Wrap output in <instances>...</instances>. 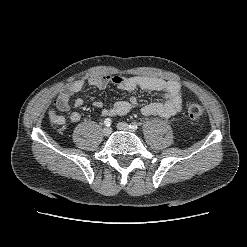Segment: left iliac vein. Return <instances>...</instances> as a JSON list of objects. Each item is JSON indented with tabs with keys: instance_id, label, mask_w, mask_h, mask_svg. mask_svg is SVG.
I'll list each match as a JSON object with an SVG mask.
<instances>
[{
	"instance_id": "4c4485c4",
	"label": "left iliac vein",
	"mask_w": 247,
	"mask_h": 247,
	"mask_svg": "<svg viewBox=\"0 0 247 247\" xmlns=\"http://www.w3.org/2000/svg\"><path fill=\"white\" fill-rule=\"evenodd\" d=\"M117 128H118L119 130H122V131L135 132V130H134V129H131V128L129 127V125H128L127 123H125V122H119V123L117 124Z\"/></svg>"
}]
</instances>
